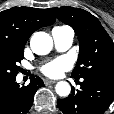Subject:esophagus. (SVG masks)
I'll return each mask as SVG.
<instances>
[{"label":"esophagus","mask_w":114,"mask_h":114,"mask_svg":"<svg viewBox=\"0 0 114 114\" xmlns=\"http://www.w3.org/2000/svg\"><path fill=\"white\" fill-rule=\"evenodd\" d=\"M57 81H55V80H50V79H45L44 80V84L45 85H49V84H55Z\"/></svg>","instance_id":"34e87169"}]
</instances>
